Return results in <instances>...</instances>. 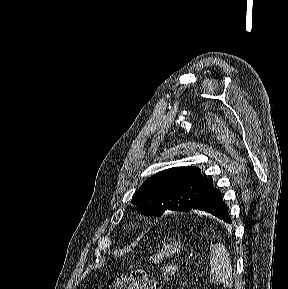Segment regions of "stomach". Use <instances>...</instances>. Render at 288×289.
Instances as JSON below:
<instances>
[{
	"mask_svg": "<svg viewBox=\"0 0 288 289\" xmlns=\"http://www.w3.org/2000/svg\"><path fill=\"white\" fill-rule=\"evenodd\" d=\"M182 248V243L179 240L173 239L172 241L163 244L161 250H158L153 256H151L150 260L154 263H159L164 259V257H170L173 254L180 252Z\"/></svg>",
	"mask_w": 288,
	"mask_h": 289,
	"instance_id": "obj_1",
	"label": "stomach"
}]
</instances>
